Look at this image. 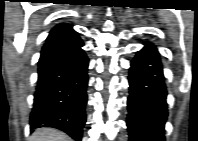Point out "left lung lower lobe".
Instances as JSON below:
<instances>
[{
    "label": "left lung lower lobe",
    "instance_id": "obj_1",
    "mask_svg": "<svg viewBox=\"0 0 198 141\" xmlns=\"http://www.w3.org/2000/svg\"><path fill=\"white\" fill-rule=\"evenodd\" d=\"M144 45L129 68V141H165L168 105L160 54L154 44Z\"/></svg>",
    "mask_w": 198,
    "mask_h": 141
}]
</instances>
